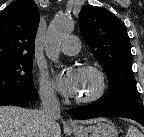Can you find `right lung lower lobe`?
Listing matches in <instances>:
<instances>
[{"mask_svg":"<svg viewBox=\"0 0 144 137\" xmlns=\"http://www.w3.org/2000/svg\"><path fill=\"white\" fill-rule=\"evenodd\" d=\"M26 100L22 97L15 96V95H1L0 96V106L3 105H15V106H20V107H27L28 103Z\"/></svg>","mask_w":144,"mask_h":137,"instance_id":"1","label":"right lung lower lobe"}]
</instances>
